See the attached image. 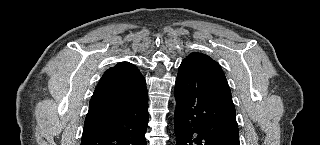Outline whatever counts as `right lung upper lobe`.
<instances>
[{"label": "right lung upper lobe", "mask_w": 320, "mask_h": 145, "mask_svg": "<svg viewBox=\"0 0 320 145\" xmlns=\"http://www.w3.org/2000/svg\"><path fill=\"white\" fill-rule=\"evenodd\" d=\"M142 79L144 77L132 63L119 62L116 66L109 68L93 93L86 117L116 108L128 96L126 91Z\"/></svg>", "instance_id": "right-lung-upper-lobe-1"}]
</instances>
